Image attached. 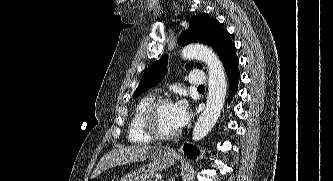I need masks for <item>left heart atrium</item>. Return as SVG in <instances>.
I'll list each match as a JSON object with an SVG mask.
<instances>
[{"label":"left heart atrium","instance_id":"left-heart-atrium-1","mask_svg":"<svg viewBox=\"0 0 333 181\" xmlns=\"http://www.w3.org/2000/svg\"><path fill=\"white\" fill-rule=\"evenodd\" d=\"M174 105V118L178 128L185 126L190 120L189 105L185 100L177 101Z\"/></svg>","mask_w":333,"mask_h":181}]
</instances>
